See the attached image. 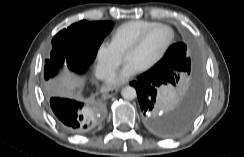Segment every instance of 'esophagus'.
<instances>
[{"label": "esophagus", "instance_id": "obj_1", "mask_svg": "<svg viewBox=\"0 0 244 157\" xmlns=\"http://www.w3.org/2000/svg\"><path fill=\"white\" fill-rule=\"evenodd\" d=\"M118 91H119L118 89L108 90L104 95H105L107 98H111V97H113L115 94H117Z\"/></svg>", "mask_w": 244, "mask_h": 157}]
</instances>
